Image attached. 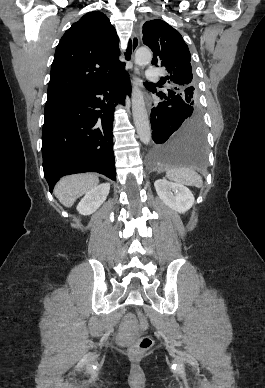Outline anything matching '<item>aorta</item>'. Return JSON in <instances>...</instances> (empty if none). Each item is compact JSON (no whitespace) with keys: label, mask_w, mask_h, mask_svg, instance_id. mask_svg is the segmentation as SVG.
I'll use <instances>...</instances> for the list:
<instances>
[{"label":"aorta","mask_w":265,"mask_h":388,"mask_svg":"<svg viewBox=\"0 0 265 388\" xmlns=\"http://www.w3.org/2000/svg\"><path fill=\"white\" fill-rule=\"evenodd\" d=\"M152 60V53L146 48H139L135 53V64L143 66L149 64ZM132 113L134 124L140 140L144 144H149L151 140V129L148 114L145 107L143 94L140 90L138 81L133 83L132 87Z\"/></svg>","instance_id":"aorta-1"}]
</instances>
